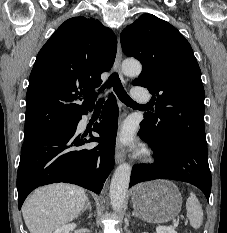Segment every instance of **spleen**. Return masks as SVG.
Masks as SVG:
<instances>
[{
	"label": "spleen",
	"mask_w": 227,
	"mask_h": 233,
	"mask_svg": "<svg viewBox=\"0 0 227 233\" xmlns=\"http://www.w3.org/2000/svg\"><path fill=\"white\" fill-rule=\"evenodd\" d=\"M186 210L191 226L194 229L200 228L203 221V210L199 200L193 192H190L187 199Z\"/></svg>",
	"instance_id": "spleen-1"
}]
</instances>
